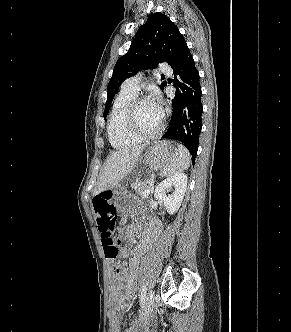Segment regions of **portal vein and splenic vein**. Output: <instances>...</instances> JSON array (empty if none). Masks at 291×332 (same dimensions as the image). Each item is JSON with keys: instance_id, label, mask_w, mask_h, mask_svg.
Returning a JSON list of instances; mask_svg holds the SVG:
<instances>
[{"instance_id": "1", "label": "portal vein and splenic vein", "mask_w": 291, "mask_h": 332, "mask_svg": "<svg viewBox=\"0 0 291 332\" xmlns=\"http://www.w3.org/2000/svg\"><path fill=\"white\" fill-rule=\"evenodd\" d=\"M151 186H152V184H151ZM151 186H150V188H148L146 191H145V193L143 194V196H148L149 195V193H150V191H151Z\"/></svg>"}]
</instances>
